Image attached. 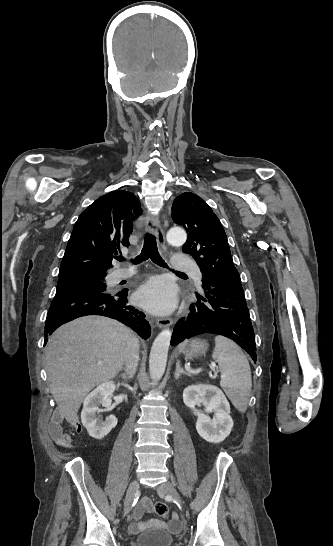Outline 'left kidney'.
Instances as JSON below:
<instances>
[{"instance_id":"1","label":"left kidney","mask_w":333,"mask_h":546,"mask_svg":"<svg viewBox=\"0 0 333 546\" xmlns=\"http://www.w3.org/2000/svg\"><path fill=\"white\" fill-rule=\"evenodd\" d=\"M183 401L197 416L196 430L204 440L219 443L231 433L233 420L230 416V404L217 386L209 384L188 386L183 392ZM200 404L207 410L215 412V417L211 419L201 410H197L195 406Z\"/></svg>"}]
</instances>
